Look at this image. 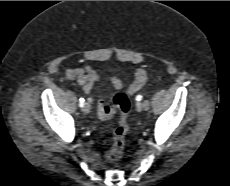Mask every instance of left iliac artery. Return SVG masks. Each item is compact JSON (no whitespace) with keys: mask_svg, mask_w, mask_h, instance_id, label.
<instances>
[{"mask_svg":"<svg viewBox=\"0 0 230 186\" xmlns=\"http://www.w3.org/2000/svg\"><path fill=\"white\" fill-rule=\"evenodd\" d=\"M136 100H137V101H141V100H142V96H141V95H137V96H136Z\"/></svg>","mask_w":230,"mask_h":186,"instance_id":"left-iliac-artery-1","label":"left iliac artery"}]
</instances>
